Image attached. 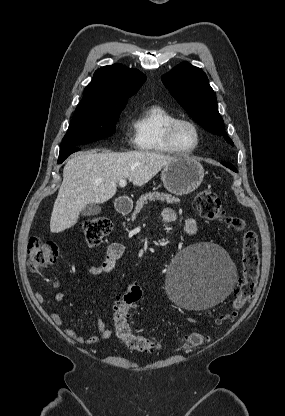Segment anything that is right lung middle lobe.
Wrapping results in <instances>:
<instances>
[{
    "label": "right lung middle lobe",
    "mask_w": 285,
    "mask_h": 416,
    "mask_svg": "<svg viewBox=\"0 0 285 416\" xmlns=\"http://www.w3.org/2000/svg\"><path fill=\"white\" fill-rule=\"evenodd\" d=\"M125 105L126 103L100 107L78 105L62 140L61 149L95 142L111 136L115 133L119 114Z\"/></svg>",
    "instance_id": "dd1d6c3e"
}]
</instances>
